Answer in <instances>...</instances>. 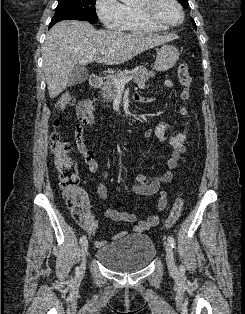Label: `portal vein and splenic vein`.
Listing matches in <instances>:
<instances>
[{
  "instance_id": "obj_1",
  "label": "portal vein and splenic vein",
  "mask_w": 245,
  "mask_h": 314,
  "mask_svg": "<svg viewBox=\"0 0 245 314\" xmlns=\"http://www.w3.org/2000/svg\"><path fill=\"white\" fill-rule=\"evenodd\" d=\"M102 55H105L108 53L107 50H102L100 52ZM133 78V76H128V77H125V78H114L113 81H114V84L116 85L117 88H124L125 84L127 82H129L131 79Z\"/></svg>"
}]
</instances>
